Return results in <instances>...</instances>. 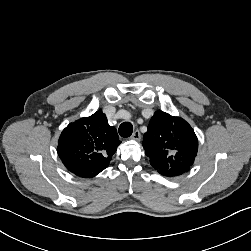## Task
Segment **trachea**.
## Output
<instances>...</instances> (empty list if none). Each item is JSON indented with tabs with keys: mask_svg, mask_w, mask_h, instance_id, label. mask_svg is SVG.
Returning a JSON list of instances; mask_svg holds the SVG:
<instances>
[{
	"mask_svg": "<svg viewBox=\"0 0 251 251\" xmlns=\"http://www.w3.org/2000/svg\"><path fill=\"white\" fill-rule=\"evenodd\" d=\"M119 134L123 138L130 137L133 132V125L130 122H123L119 126Z\"/></svg>",
	"mask_w": 251,
	"mask_h": 251,
	"instance_id": "trachea-1",
	"label": "trachea"
}]
</instances>
